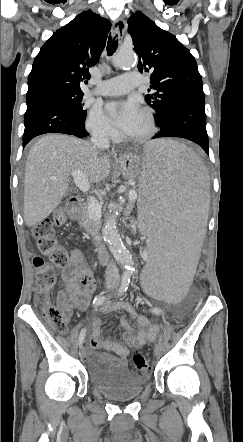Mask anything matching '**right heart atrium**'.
<instances>
[{"mask_svg":"<svg viewBox=\"0 0 243 442\" xmlns=\"http://www.w3.org/2000/svg\"><path fill=\"white\" fill-rule=\"evenodd\" d=\"M86 128L94 136L114 140L117 133L100 109L93 108L88 113Z\"/></svg>","mask_w":243,"mask_h":442,"instance_id":"right-heart-atrium-1","label":"right heart atrium"}]
</instances>
